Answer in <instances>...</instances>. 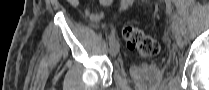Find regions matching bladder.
<instances>
[{
  "label": "bladder",
  "mask_w": 209,
  "mask_h": 90,
  "mask_svg": "<svg viewBox=\"0 0 209 90\" xmlns=\"http://www.w3.org/2000/svg\"><path fill=\"white\" fill-rule=\"evenodd\" d=\"M130 76L144 90H151L164 80L165 67L154 63L134 64L130 67Z\"/></svg>",
  "instance_id": "31cf9c89"
}]
</instances>
